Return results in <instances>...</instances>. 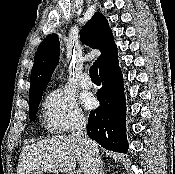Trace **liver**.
<instances>
[{"label": "liver", "instance_id": "obj_1", "mask_svg": "<svg viewBox=\"0 0 175 174\" xmlns=\"http://www.w3.org/2000/svg\"><path fill=\"white\" fill-rule=\"evenodd\" d=\"M78 162L84 174H88L91 162L85 146L73 135H59L26 145L18 162L17 174L31 171L67 173Z\"/></svg>", "mask_w": 175, "mask_h": 174}]
</instances>
